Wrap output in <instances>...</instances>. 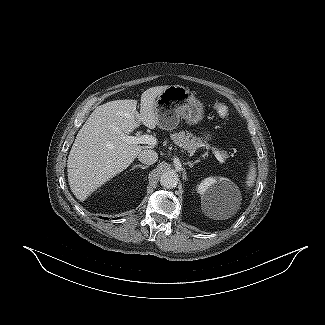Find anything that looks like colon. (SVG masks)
I'll return each mask as SVG.
<instances>
[{
  "label": "colon",
  "instance_id": "colon-1",
  "mask_svg": "<svg viewBox=\"0 0 325 325\" xmlns=\"http://www.w3.org/2000/svg\"><path fill=\"white\" fill-rule=\"evenodd\" d=\"M215 110L218 113V115L223 119H226L229 115L227 106L222 103H216Z\"/></svg>",
  "mask_w": 325,
  "mask_h": 325
}]
</instances>
